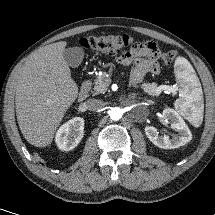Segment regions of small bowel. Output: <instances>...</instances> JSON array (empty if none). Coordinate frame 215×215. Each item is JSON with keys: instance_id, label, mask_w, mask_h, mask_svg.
<instances>
[{"instance_id": "c3829d8e", "label": "small bowel", "mask_w": 215, "mask_h": 215, "mask_svg": "<svg viewBox=\"0 0 215 215\" xmlns=\"http://www.w3.org/2000/svg\"><path fill=\"white\" fill-rule=\"evenodd\" d=\"M160 50L154 42L136 43L129 51L117 58L123 66H132L130 82L139 84L147 74L158 75Z\"/></svg>"}]
</instances>
